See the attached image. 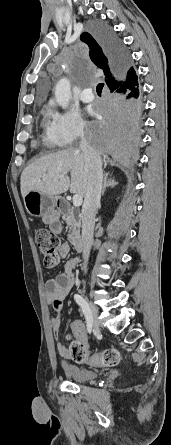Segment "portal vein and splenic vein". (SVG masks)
<instances>
[{"instance_id":"18ae733b","label":"portal vein and splenic vein","mask_w":171,"mask_h":445,"mask_svg":"<svg viewBox=\"0 0 171 445\" xmlns=\"http://www.w3.org/2000/svg\"><path fill=\"white\" fill-rule=\"evenodd\" d=\"M63 177H64L63 175H60V178H63ZM82 201H83V198H82V196H80L79 194H75V195L73 196V206H74V207H79V206H81Z\"/></svg>"}]
</instances>
